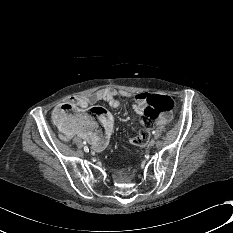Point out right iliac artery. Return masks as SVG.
<instances>
[{
	"label": "right iliac artery",
	"instance_id": "obj_1",
	"mask_svg": "<svg viewBox=\"0 0 233 233\" xmlns=\"http://www.w3.org/2000/svg\"><path fill=\"white\" fill-rule=\"evenodd\" d=\"M83 143L86 144L85 141H84ZM84 151H85V152H89V148H88L87 146H85V147H84Z\"/></svg>",
	"mask_w": 233,
	"mask_h": 233
}]
</instances>
